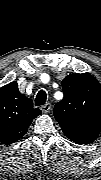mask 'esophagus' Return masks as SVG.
Returning a JSON list of instances; mask_svg holds the SVG:
<instances>
[{
    "mask_svg": "<svg viewBox=\"0 0 101 180\" xmlns=\"http://www.w3.org/2000/svg\"><path fill=\"white\" fill-rule=\"evenodd\" d=\"M51 109V104L50 103H46L43 106H41V111L44 113L49 112Z\"/></svg>",
    "mask_w": 101,
    "mask_h": 180,
    "instance_id": "obj_1",
    "label": "esophagus"
}]
</instances>
